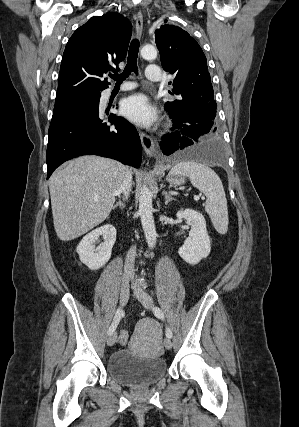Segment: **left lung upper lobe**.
Segmentation results:
<instances>
[{
  "label": "left lung upper lobe",
  "instance_id": "obj_1",
  "mask_svg": "<svg viewBox=\"0 0 299 427\" xmlns=\"http://www.w3.org/2000/svg\"><path fill=\"white\" fill-rule=\"evenodd\" d=\"M155 37L163 68L175 76L169 84H173V93L180 97L166 102L165 109L172 111L179 104L201 103L212 109L216 121L217 104L206 57L197 41L180 27L168 24L157 29Z\"/></svg>",
  "mask_w": 299,
  "mask_h": 427
}]
</instances>
